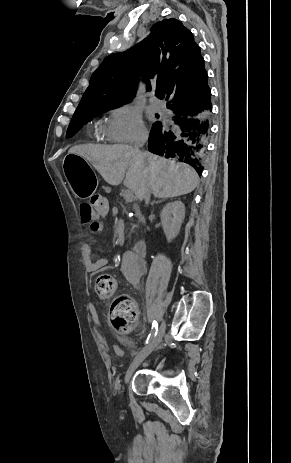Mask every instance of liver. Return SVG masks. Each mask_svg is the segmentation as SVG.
<instances>
[{
  "mask_svg": "<svg viewBox=\"0 0 291 463\" xmlns=\"http://www.w3.org/2000/svg\"><path fill=\"white\" fill-rule=\"evenodd\" d=\"M69 154L93 164L110 185L123 184L143 199L148 186L158 198H172L192 192L199 183L196 171L184 163H175L150 152H135L129 145H77Z\"/></svg>",
  "mask_w": 291,
  "mask_h": 463,
  "instance_id": "liver-1",
  "label": "liver"
}]
</instances>
